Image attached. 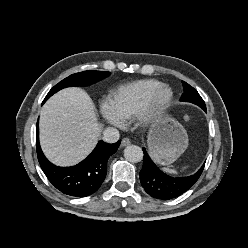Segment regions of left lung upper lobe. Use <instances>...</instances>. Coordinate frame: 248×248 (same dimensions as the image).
Listing matches in <instances>:
<instances>
[{
  "label": "left lung upper lobe",
  "mask_w": 248,
  "mask_h": 248,
  "mask_svg": "<svg viewBox=\"0 0 248 248\" xmlns=\"http://www.w3.org/2000/svg\"><path fill=\"white\" fill-rule=\"evenodd\" d=\"M182 83H183L184 93L182 94L180 101L191 102V103H194L200 106L201 108L206 107L205 102L201 98L199 93L193 87H191L188 83L184 81Z\"/></svg>",
  "instance_id": "1"
}]
</instances>
